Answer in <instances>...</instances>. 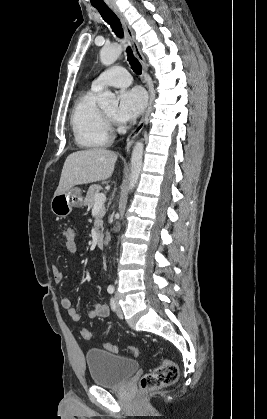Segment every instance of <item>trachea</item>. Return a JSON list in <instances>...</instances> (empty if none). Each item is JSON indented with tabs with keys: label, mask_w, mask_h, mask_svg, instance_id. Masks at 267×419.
<instances>
[{
	"label": "trachea",
	"mask_w": 267,
	"mask_h": 419,
	"mask_svg": "<svg viewBox=\"0 0 267 419\" xmlns=\"http://www.w3.org/2000/svg\"><path fill=\"white\" fill-rule=\"evenodd\" d=\"M95 8L98 10L100 15L104 19V21L110 25V27L112 28V31L116 34V36L119 38H123V29H122L120 20L113 13V11L107 6H95ZM126 52L128 56L127 60L129 61V64L131 65L132 70L137 75H140L142 73V66L140 62L137 60V58L133 55V52L130 46L127 47Z\"/></svg>",
	"instance_id": "trachea-1"
}]
</instances>
